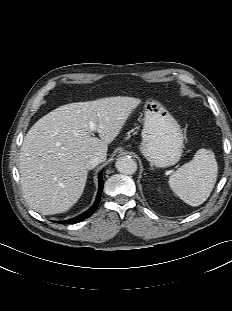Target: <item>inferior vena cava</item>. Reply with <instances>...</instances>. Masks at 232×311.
<instances>
[{
	"instance_id": "1",
	"label": "inferior vena cava",
	"mask_w": 232,
	"mask_h": 311,
	"mask_svg": "<svg viewBox=\"0 0 232 311\" xmlns=\"http://www.w3.org/2000/svg\"><path fill=\"white\" fill-rule=\"evenodd\" d=\"M103 157L101 156H92L90 159H88L86 161V168L88 170H91L93 168H95L98 164H100L101 162H103Z\"/></svg>"
}]
</instances>
